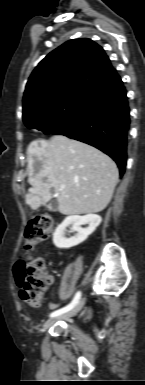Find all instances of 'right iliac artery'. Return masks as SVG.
<instances>
[{
    "label": "right iliac artery",
    "instance_id": "obj_1",
    "mask_svg": "<svg viewBox=\"0 0 145 385\" xmlns=\"http://www.w3.org/2000/svg\"><path fill=\"white\" fill-rule=\"evenodd\" d=\"M80 297H81V292H77L70 304H68L67 306H65L61 309H58V310L52 312L50 314V317H56V316H59L61 314H64V313L70 311L71 309H73L78 304Z\"/></svg>",
    "mask_w": 145,
    "mask_h": 385
}]
</instances>
